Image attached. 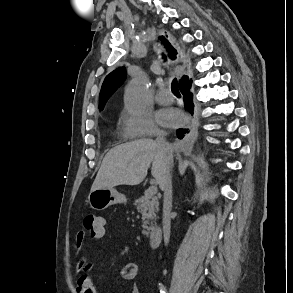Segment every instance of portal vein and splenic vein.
I'll use <instances>...</instances> for the list:
<instances>
[{"label":"portal vein and splenic vein","mask_w":293,"mask_h":293,"mask_svg":"<svg viewBox=\"0 0 293 293\" xmlns=\"http://www.w3.org/2000/svg\"><path fill=\"white\" fill-rule=\"evenodd\" d=\"M157 187L156 186H151L147 190L148 195H155L157 193Z\"/></svg>","instance_id":"portal-vein-and-splenic-vein-1"}]
</instances>
